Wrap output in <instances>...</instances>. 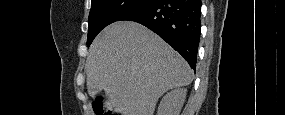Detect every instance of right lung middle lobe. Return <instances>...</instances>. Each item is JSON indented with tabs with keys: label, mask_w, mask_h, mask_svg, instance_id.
Segmentation results:
<instances>
[{
	"label": "right lung middle lobe",
	"mask_w": 285,
	"mask_h": 115,
	"mask_svg": "<svg viewBox=\"0 0 285 115\" xmlns=\"http://www.w3.org/2000/svg\"><path fill=\"white\" fill-rule=\"evenodd\" d=\"M149 1L150 0H92L88 19L87 46L92 43L93 39L103 28Z\"/></svg>",
	"instance_id": "obj_1"
}]
</instances>
